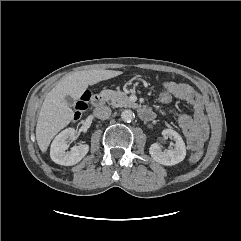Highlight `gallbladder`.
Here are the masks:
<instances>
[{
    "label": "gallbladder",
    "mask_w": 241,
    "mask_h": 241,
    "mask_svg": "<svg viewBox=\"0 0 241 241\" xmlns=\"http://www.w3.org/2000/svg\"><path fill=\"white\" fill-rule=\"evenodd\" d=\"M65 100L70 107H74V105H75V99L74 98H72L71 96H66Z\"/></svg>",
    "instance_id": "obj_1"
}]
</instances>
